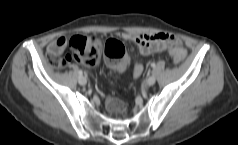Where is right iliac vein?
Returning a JSON list of instances; mask_svg holds the SVG:
<instances>
[{
	"label": "right iliac vein",
	"instance_id": "obj_1",
	"mask_svg": "<svg viewBox=\"0 0 238 145\" xmlns=\"http://www.w3.org/2000/svg\"><path fill=\"white\" fill-rule=\"evenodd\" d=\"M78 82L80 85H85L87 83V79L84 76H79Z\"/></svg>",
	"mask_w": 238,
	"mask_h": 145
}]
</instances>
